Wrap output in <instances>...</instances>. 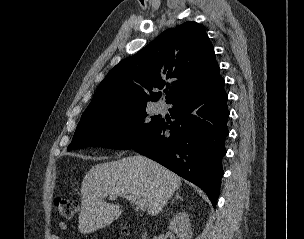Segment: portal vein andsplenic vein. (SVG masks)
Wrapping results in <instances>:
<instances>
[{
  "label": "portal vein and splenic vein",
  "mask_w": 304,
  "mask_h": 239,
  "mask_svg": "<svg viewBox=\"0 0 304 239\" xmlns=\"http://www.w3.org/2000/svg\"><path fill=\"white\" fill-rule=\"evenodd\" d=\"M110 198H117V195H110ZM125 198L131 203L135 204L138 209L144 210L147 207L146 200L139 196L129 194L125 195Z\"/></svg>",
  "instance_id": "obj_1"
}]
</instances>
